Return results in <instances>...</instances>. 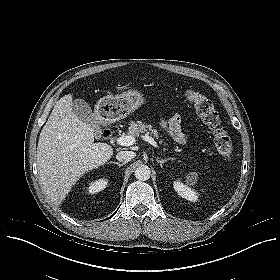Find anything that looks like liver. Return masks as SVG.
Masks as SVG:
<instances>
[{"mask_svg": "<svg viewBox=\"0 0 280 280\" xmlns=\"http://www.w3.org/2000/svg\"><path fill=\"white\" fill-rule=\"evenodd\" d=\"M93 129L72 110V95L58 100L42 128L37 146V168L49 199L60 205L75 182L113 155L106 143H94Z\"/></svg>", "mask_w": 280, "mask_h": 280, "instance_id": "obj_1", "label": "liver"}]
</instances>
